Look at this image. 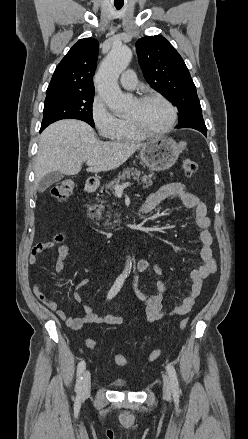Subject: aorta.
I'll return each instance as SVG.
<instances>
[{
	"instance_id": "1",
	"label": "aorta",
	"mask_w": 248,
	"mask_h": 439,
	"mask_svg": "<svg viewBox=\"0 0 248 439\" xmlns=\"http://www.w3.org/2000/svg\"><path fill=\"white\" fill-rule=\"evenodd\" d=\"M132 58V51L125 45L113 46L101 63L95 76L99 96L115 113L126 112L131 105V97L124 94L118 86L119 75L127 68ZM131 270L130 258L127 259L124 273Z\"/></svg>"
}]
</instances>
